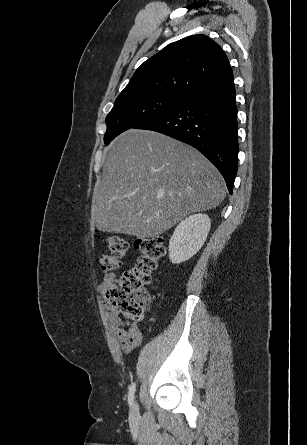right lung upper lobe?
Masks as SVG:
<instances>
[{
    "instance_id": "right-lung-upper-lobe-1",
    "label": "right lung upper lobe",
    "mask_w": 307,
    "mask_h": 445,
    "mask_svg": "<svg viewBox=\"0 0 307 445\" xmlns=\"http://www.w3.org/2000/svg\"><path fill=\"white\" fill-rule=\"evenodd\" d=\"M231 74L220 46L205 35H193L166 46L141 64L120 95L186 98Z\"/></svg>"
}]
</instances>
